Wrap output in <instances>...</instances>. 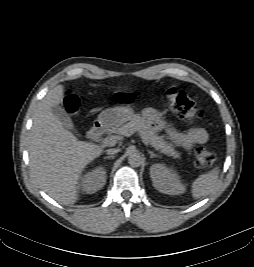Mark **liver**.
Returning a JSON list of instances; mask_svg holds the SVG:
<instances>
[{
  "label": "liver",
  "mask_w": 254,
  "mask_h": 267,
  "mask_svg": "<svg viewBox=\"0 0 254 267\" xmlns=\"http://www.w3.org/2000/svg\"><path fill=\"white\" fill-rule=\"evenodd\" d=\"M63 98L64 86L58 85L38 104L29 134L28 152L31 174L39 187L57 202L72 205L78 200L82 172L103 149L79 141L53 114L52 107L59 105Z\"/></svg>",
  "instance_id": "liver-1"
}]
</instances>
